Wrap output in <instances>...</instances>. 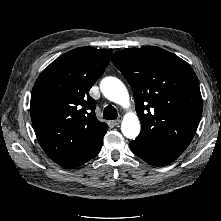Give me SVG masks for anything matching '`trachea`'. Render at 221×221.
Wrapping results in <instances>:
<instances>
[{"label": "trachea", "mask_w": 221, "mask_h": 221, "mask_svg": "<svg viewBox=\"0 0 221 221\" xmlns=\"http://www.w3.org/2000/svg\"><path fill=\"white\" fill-rule=\"evenodd\" d=\"M117 111L116 109L109 105V106H106L105 109H104V112H103V118L106 119V120H114L117 118Z\"/></svg>", "instance_id": "trachea-1"}]
</instances>
